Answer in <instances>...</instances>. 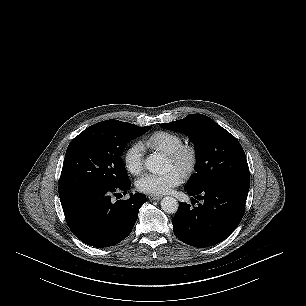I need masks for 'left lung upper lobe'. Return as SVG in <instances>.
<instances>
[{
  "label": "left lung upper lobe",
  "instance_id": "left-lung-upper-lobe-1",
  "mask_svg": "<svg viewBox=\"0 0 306 306\" xmlns=\"http://www.w3.org/2000/svg\"><path fill=\"white\" fill-rule=\"evenodd\" d=\"M160 126L189 136L197 157L196 173L186 189L219 181L250 182L245 153L238 140L206 115L190 114Z\"/></svg>",
  "mask_w": 306,
  "mask_h": 306
}]
</instances>
